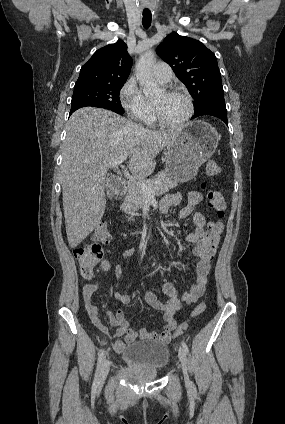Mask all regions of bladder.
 Instances as JSON below:
<instances>
[{
	"mask_svg": "<svg viewBox=\"0 0 285 424\" xmlns=\"http://www.w3.org/2000/svg\"><path fill=\"white\" fill-rule=\"evenodd\" d=\"M122 360L129 368L144 370L156 376L167 367L170 348L166 343L156 340L138 341L125 347Z\"/></svg>",
	"mask_w": 285,
	"mask_h": 424,
	"instance_id": "obj_1",
	"label": "bladder"
}]
</instances>
